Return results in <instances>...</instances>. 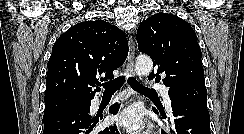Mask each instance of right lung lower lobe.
Segmentation results:
<instances>
[{"instance_id":"98d812e1","label":"right lung lower lobe","mask_w":244,"mask_h":134,"mask_svg":"<svg viewBox=\"0 0 244 134\" xmlns=\"http://www.w3.org/2000/svg\"><path fill=\"white\" fill-rule=\"evenodd\" d=\"M90 104L67 107L43 117V134H119L116 126L98 130V120L89 115ZM118 104L110 107V113L116 114Z\"/></svg>"}]
</instances>
